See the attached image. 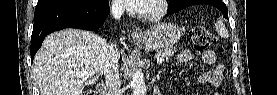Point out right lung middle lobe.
Listing matches in <instances>:
<instances>
[{
    "label": "right lung middle lobe",
    "mask_w": 277,
    "mask_h": 95,
    "mask_svg": "<svg viewBox=\"0 0 277 95\" xmlns=\"http://www.w3.org/2000/svg\"><path fill=\"white\" fill-rule=\"evenodd\" d=\"M92 0H38L37 6L51 3L90 2Z\"/></svg>",
    "instance_id": "right-lung-middle-lobe-1"
}]
</instances>
